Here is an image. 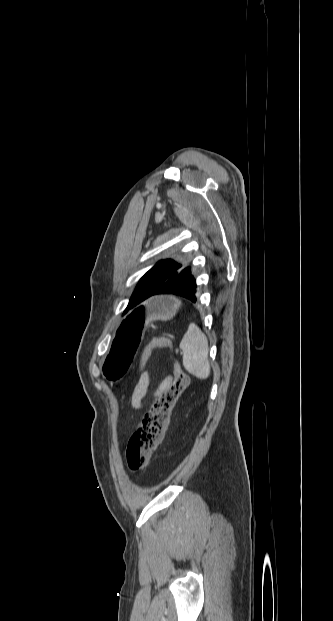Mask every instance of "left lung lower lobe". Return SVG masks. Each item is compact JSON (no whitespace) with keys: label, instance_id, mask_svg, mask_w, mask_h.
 <instances>
[{"label":"left lung lower lobe","instance_id":"left-lung-lower-lobe-1","mask_svg":"<svg viewBox=\"0 0 333 621\" xmlns=\"http://www.w3.org/2000/svg\"><path fill=\"white\" fill-rule=\"evenodd\" d=\"M196 287V280L189 270L164 284L154 295L174 294L196 302Z\"/></svg>","mask_w":333,"mask_h":621}]
</instances>
